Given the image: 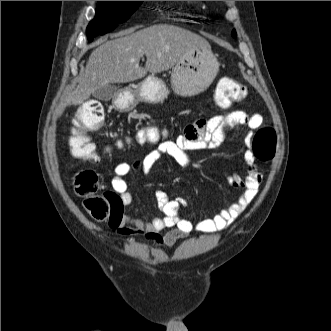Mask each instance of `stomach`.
I'll use <instances>...</instances> for the list:
<instances>
[{
  "label": "stomach",
  "mask_w": 331,
  "mask_h": 331,
  "mask_svg": "<svg viewBox=\"0 0 331 331\" xmlns=\"http://www.w3.org/2000/svg\"><path fill=\"white\" fill-rule=\"evenodd\" d=\"M219 70V62L211 51L210 45L198 46L185 54L174 66L171 86L180 96H194L208 88ZM169 94L166 84L148 76L136 90H124L116 100L115 107L120 111L134 109L139 101L152 104L163 102Z\"/></svg>",
  "instance_id": "0dacf381"
}]
</instances>
